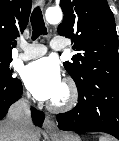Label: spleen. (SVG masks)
Returning a JSON list of instances; mask_svg holds the SVG:
<instances>
[{"mask_svg":"<svg viewBox=\"0 0 119 141\" xmlns=\"http://www.w3.org/2000/svg\"><path fill=\"white\" fill-rule=\"evenodd\" d=\"M99 141H109L106 137H100Z\"/></svg>","mask_w":119,"mask_h":141,"instance_id":"obj_1","label":"spleen"}]
</instances>
